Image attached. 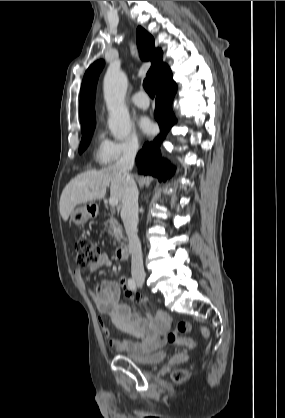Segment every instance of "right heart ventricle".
I'll return each mask as SVG.
<instances>
[{
    "mask_svg": "<svg viewBox=\"0 0 285 418\" xmlns=\"http://www.w3.org/2000/svg\"><path fill=\"white\" fill-rule=\"evenodd\" d=\"M108 141L104 138L101 132H98L95 137V149H94V158L95 160L103 163L104 150Z\"/></svg>",
    "mask_w": 285,
    "mask_h": 418,
    "instance_id": "1",
    "label": "right heart ventricle"
}]
</instances>
